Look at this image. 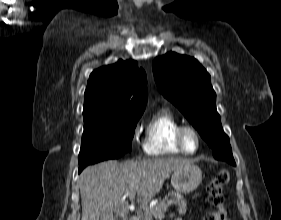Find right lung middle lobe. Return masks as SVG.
<instances>
[{"label": "right lung middle lobe", "mask_w": 281, "mask_h": 220, "mask_svg": "<svg viewBox=\"0 0 281 220\" xmlns=\"http://www.w3.org/2000/svg\"><path fill=\"white\" fill-rule=\"evenodd\" d=\"M140 117L84 119L79 168L131 152L134 129Z\"/></svg>", "instance_id": "1"}]
</instances>
